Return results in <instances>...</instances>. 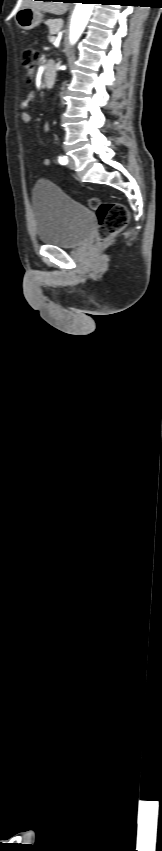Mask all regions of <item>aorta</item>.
I'll list each match as a JSON object with an SVG mask.
<instances>
[{"instance_id": "obj_1", "label": "aorta", "mask_w": 162, "mask_h": 851, "mask_svg": "<svg viewBox=\"0 0 162 851\" xmlns=\"http://www.w3.org/2000/svg\"><path fill=\"white\" fill-rule=\"evenodd\" d=\"M94 4L77 3L70 24V43L75 44L83 33L92 14Z\"/></svg>"}]
</instances>
